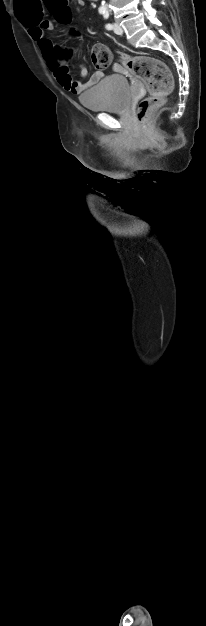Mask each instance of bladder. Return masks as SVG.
<instances>
[{"instance_id": "31cf9c89", "label": "bladder", "mask_w": 206, "mask_h": 626, "mask_svg": "<svg viewBox=\"0 0 206 626\" xmlns=\"http://www.w3.org/2000/svg\"><path fill=\"white\" fill-rule=\"evenodd\" d=\"M131 87L126 77L108 75L80 95L83 107L93 112H123L131 102Z\"/></svg>"}]
</instances>
